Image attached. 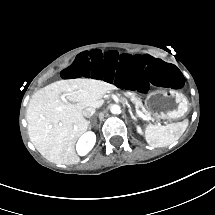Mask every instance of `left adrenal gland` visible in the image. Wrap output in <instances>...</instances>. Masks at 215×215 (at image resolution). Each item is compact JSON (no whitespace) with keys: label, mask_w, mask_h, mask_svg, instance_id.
<instances>
[{"label":"left adrenal gland","mask_w":215,"mask_h":215,"mask_svg":"<svg viewBox=\"0 0 215 215\" xmlns=\"http://www.w3.org/2000/svg\"><path fill=\"white\" fill-rule=\"evenodd\" d=\"M129 113H130L132 119L137 120V118L133 115L131 109H129Z\"/></svg>","instance_id":"1"}]
</instances>
